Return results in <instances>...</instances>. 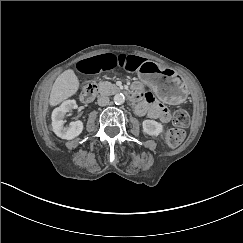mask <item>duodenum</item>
I'll return each instance as SVG.
<instances>
[{
  "label": "duodenum",
  "mask_w": 243,
  "mask_h": 243,
  "mask_svg": "<svg viewBox=\"0 0 243 243\" xmlns=\"http://www.w3.org/2000/svg\"><path fill=\"white\" fill-rule=\"evenodd\" d=\"M95 94H96V85L94 83H89L84 87L81 93V101L84 104H88L94 99ZM126 94L128 98L133 102H137L141 98V94L135 90H130Z\"/></svg>",
  "instance_id": "1"
}]
</instances>
